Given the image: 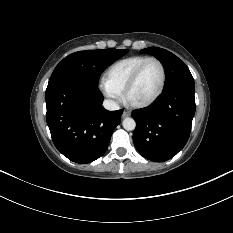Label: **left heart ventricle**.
Returning a JSON list of instances; mask_svg holds the SVG:
<instances>
[{
	"mask_svg": "<svg viewBox=\"0 0 233 233\" xmlns=\"http://www.w3.org/2000/svg\"><path fill=\"white\" fill-rule=\"evenodd\" d=\"M162 79L161 68L156 62L148 63L129 93V100L134 103L147 101L158 91Z\"/></svg>",
	"mask_w": 233,
	"mask_h": 233,
	"instance_id": "b2bd125f",
	"label": "left heart ventricle"
}]
</instances>
